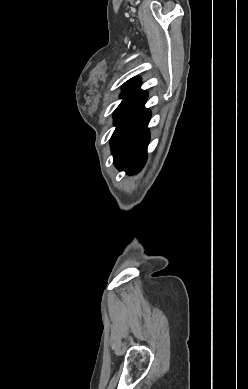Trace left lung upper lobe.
<instances>
[{
	"label": "left lung upper lobe",
	"mask_w": 248,
	"mask_h": 389,
	"mask_svg": "<svg viewBox=\"0 0 248 389\" xmlns=\"http://www.w3.org/2000/svg\"><path fill=\"white\" fill-rule=\"evenodd\" d=\"M136 80V78L130 79L128 82H126L123 86V89L127 88L131 83H133Z\"/></svg>",
	"instance_id": "left-lung-upper-lobe-1"
}]
</instances>
